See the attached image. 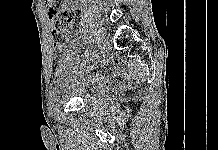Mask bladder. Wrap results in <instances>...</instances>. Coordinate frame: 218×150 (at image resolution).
<instances>
[{
  "label": "bladder",
  "mask_w": 218,
  "mask_h": 150,
  "mask_svg": "<svg viewBox=\"0 0 218 150\" xmlns=\"http://www.w3.org/2000/svg\"><path fill=\"white\" fill-rule=\"evenodd\" d=\"M68 66L65 65V69L57 74L56 82L59 90L64 94L81 96L86 99L87 93L83 80L78 77L72 67Z\"/></svg>",
  "instance_id": "31cf9c89"
}]
</instances>
